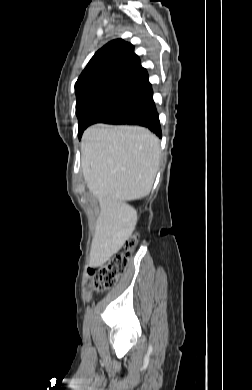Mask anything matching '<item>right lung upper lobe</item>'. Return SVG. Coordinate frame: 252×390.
I'll list each match as a JSON object with an SVG mask.
<instances>
[{
    "mask_svg": "<svg viewBox=\"0 0 252 390\" xmlns=\"http://www.w3.org/2000/svg\"><path fill=\"white\" fill-rule=\"evenodd\" d=\"M152 92L134 46L116 39L99 49L79 76L75 84L76 109L101 99L138 102Z\"/></svg>",
    "mask_w": 252,
    "mask_h": 390,
    "instance_id": "1",
    "label": "right lung upper lobe"
}]
</instances>
